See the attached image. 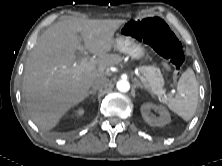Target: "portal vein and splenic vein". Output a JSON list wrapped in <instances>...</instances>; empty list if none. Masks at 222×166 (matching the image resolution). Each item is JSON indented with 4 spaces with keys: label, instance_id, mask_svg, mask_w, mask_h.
<instances>
[{
    "label": "portal vein and splenic vein",
    "instance_id": "obj_1",
    "mask_svg": "<svg viewBox=\"0 0 222 166\" xmlns=\"http://www.w3.org/2000/svg\"><path fill=\"white\" fill-rule=\"evenodd\" d=\"M73 71L75 73L83 72V71H90L95 69V62L93 60H89L87 57L83 58L79 65H72ZM140 80L143 83H146V79L139 75Z\"/></svg>",
    "mask_w": 222,
    "mask_h": 166
}]
</instances>
